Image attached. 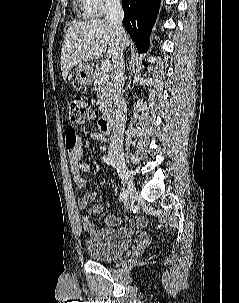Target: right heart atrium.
Returning <instances> with one entry per match:
<instances>
[{"instance_id":"1","label":"right heart atrium","mask_w":239,"mask_h":303,"mask_svg":"<svg viewBox=\"0 0 239 303\" xmlns=\"http://www.w3.org/2000/svg\"><path fill=\"white\" fill-rule=\"evenodd\" d=\"M81 9L90 17H99L118 9L121 0H79Z\"/></svg>"}]
</instances>
